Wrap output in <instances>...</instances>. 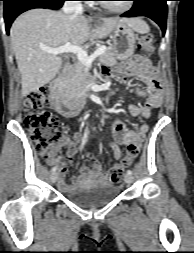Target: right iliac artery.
<instances>
[{
	"label": "right iliac artery",
	"mask_w": 194,
	"mask_h": 253,
	"mask_svg": "<svg viewBox=\"0 0 194 253\" xmlns=\"http://www.w3.org/2000/svg\"><path fill=\"white\" fill-rule=\"evenodd\" d=\"M56 169H57L56 167H53L51 171H52V172H55Z\"/></svg>",
	"instance_id": "82829eb1"
}]
</instances>
